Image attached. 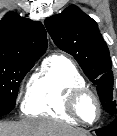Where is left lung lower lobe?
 <instances>
[{
	"instance_id": "left-lung-lower-lobe-1",
	"label": "left lung lower lobe",
	"mask_w": 117,
	"mask_h": 136,
	"mask_svg": "<svg viewBox=\"0 0 117 136\" xmlns=\"http://www.w3.org/2000/svg\"><path fill=\"white\" fill-rule=\"evenodd\" d=\"M98 136H117V119L110 125L96 130Z\"/></svg>"
}]
</instances>
